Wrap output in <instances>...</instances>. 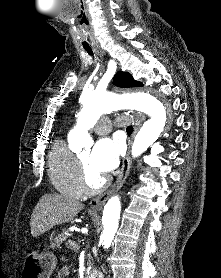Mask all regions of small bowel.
I'll return each instance as SVG.
<instances>
[{
    "instance_id": "obj_1",
    "label": "small bowel",
    "mask_w": 221,
    "mask_h": 278,
    "mask_svg": "<svg viewBox=\"0 0 221 278\" xmlns=\"http://www.w3.org/2000/svg\"><path fill=\"white\" fill-rule=\"evenodd\" d=\"M68 274L67 269H62L60 273L55 278H64Z\"/></svg>"
}]
</instances>
